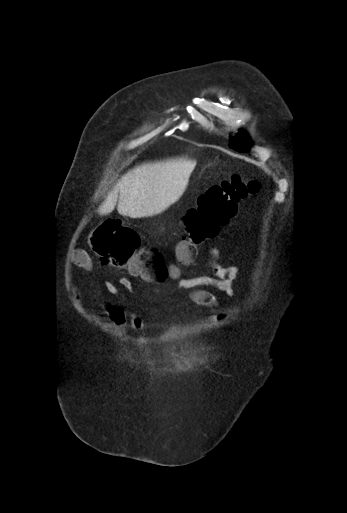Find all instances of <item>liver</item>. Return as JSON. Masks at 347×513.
Listing matches in <instances>:
<instances>
[{"label": "liver", "mask_w": 347, "mask_h": 513, "mask_svg": "<svg viewBox=\"0 0 347 513\" xmlns=\"http://www.w3.org/2000/svg\"><path fill=\"white\" fill-rule=\"evenodd\" d=\"M196 161L187 158L142 164L118 180L99 207L101 215L117 210L132 218L164 211L184 192Z\"/></svg>", "instance_id": "obj_1"}]
</instances>
